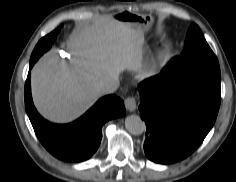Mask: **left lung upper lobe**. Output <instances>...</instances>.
<instances>
[{
  "label": "left lung upper lobe",
  "instance_id": "left-lung-upper-lobe-1",
  "mask_svg": "<svg viewBox=\"0 0 236 182\" xmlns=\"http://www.w3.org/2000/svg\"><path fill=\"white\" fill-rule=\"evenodd\" d=\"M168 70L172 74L198 76L220 81L221 75L217 57L195 23L189 27L184 50L180 56L171 61Z\"/></svg>",
  "mask_w": 236,
  "mask_h": 182
}]
</instances>
